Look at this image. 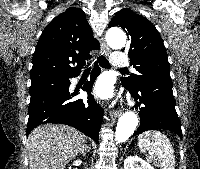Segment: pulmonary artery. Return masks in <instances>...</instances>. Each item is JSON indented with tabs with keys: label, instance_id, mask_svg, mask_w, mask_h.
Here are the masks:
<instances>
[{
	"label": "pulmonary artery",
	"instance_id": "1",
	"mask_svg": "<svg viewBox=\"0 0 200 169\" xmlns=\"http://www.w3.org/2000/svg\"><path fill=\"white\" fill-rule=\"evenodd\" d=\"M111 63L113 66L123 67L129 64V60L124 52L116 51L111 58Z\"/></svg>",
	"mask_w": 200,
	"mask_h": 169
}]
</instances>
